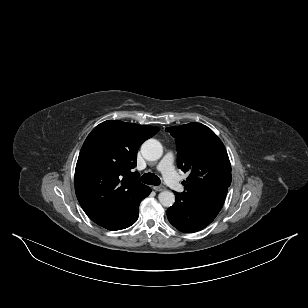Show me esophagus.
Masks as SVG:
<instances>
[{"label": "esophagus", "mask_w": 308, "mask_h": 308, "mask_svg": "<svg viewBox=\"0 0 308 308\" xmlns=\"http://www.w3.org/2000/svg\"><path fill=\"white\" fill-rule=\"evenodd\" d=\"M155 191H163L165 188L163 186H153Z\"/></svg>", "instance_id": "1"}]
</instances>
